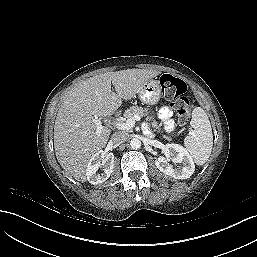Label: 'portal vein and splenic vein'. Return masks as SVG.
Returning <instances> with one entry per match:
<instances>
[{
    "label": "portal vein and splenic vein",
    "instance_id": "18ae733b",
    "mask_svg": "<svg viewBox=\"0 0 257 257\" xmlns=\"http://www.w3.org/2000/svg\"><path fill=\"white\" fill-rule=\"evenodd\" d=\"M141 117L138 115H134L132 118L128 119L126 122H112V125L119 130H129L135 126L136 121H140ZM93 122L97 125V129L101 130L102 122L98 119H93Z\"/></svg>",
    "mask_w": 257,
    "mask_h": 257
}]
</instances>
